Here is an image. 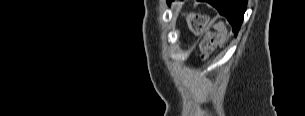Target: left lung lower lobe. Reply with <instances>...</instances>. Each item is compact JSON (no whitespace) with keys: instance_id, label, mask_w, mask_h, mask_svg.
<instances>
[{"instance_id":"obj_1","label":"left lung lower lobe","mask_w":305,"mask_h":116,"mask_svg":"<svg viewBox=\"0 0 305 116\" xmlns=\"http://www.w3.org/2000/svg\"><path fill=\"white\" fill-rule=\"evenodd\" d=\"M221 15L231 23L233 32L237 35L246 10V0H207Z\"/></svg>"}]
</instances>
